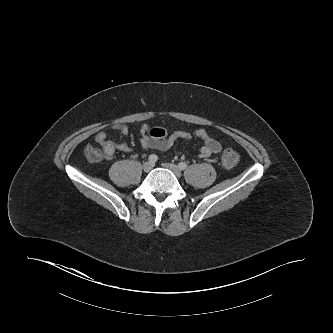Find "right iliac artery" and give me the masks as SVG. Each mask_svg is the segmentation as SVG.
<instances>
[{"mask_svg": "<svg viewBox=\"0 0 333 333\" xmlns=\"http://www.w3.org/2000/svg\"><path fill=\"white\" fill-rule=\"evenodd\" d=\"M148 160L152 163H155V162H157L158 157L156 155L152 154L148 157Z\"/></svg>", "mask_w": 333, "mask_h": 333, "instance_id": "obj_1", "label": "right iliac artery"}]
</instances>
